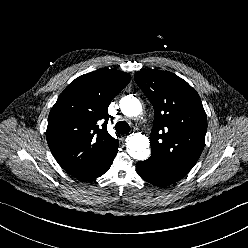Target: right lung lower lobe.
I'll return each mask as SVG.
<instances>
[{
	"mask_svg": "<svg viewBox=\"0 0 248 248\" xmlns=\"http://www.w3.org/2000/svg\"><path fill=\"white\" fill-rule=\"evenodd\" d=\"M117 152H118V141L116 140V143H115L114 148H113V152L110 155L108 161L96 173H94V174L90 175L88 178L82 179V180H91V179L97 178V177L103 175L104 173H106L109 170Z\"/></svg>",
	"mask_w": 248,
	"mask_h": 248,
	"instance_id": "1",
	"label": "right lung lower lobe"
}]
</instances>
